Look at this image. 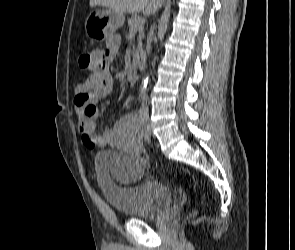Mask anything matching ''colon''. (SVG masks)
<instances>
[{"mask_svg": "<svg viewBox=\"0 0 295 250\" xmlns=\"http://www.w3.org/2000/svg\"><path fill=\"white\" fill-rule=\"evenodd\" d=\"M93 64V57L90 53H84L80 56L79 58V65L81 68L83 69H88L92 66ZM187 184L189 185V187L195 191V185L193 182L191 181H187Z\"/></svg>", "mask_w": 295, "mask_h": 250, "instance_id": "5ec220e1", "label": "colon"}]
</instances>
